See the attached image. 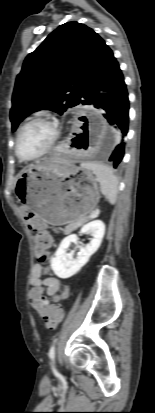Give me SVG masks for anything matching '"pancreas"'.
<instances>
[{
  "label": "pancreas",
  "mask_w": 155,
  "mask_h": 413,
  "mask_svg": "<svg viewBox=\"0 0 155 413\" xmlns=\"http://www.w3.org/2000/svg\"><path fill=\"white\" fill-rule=\"evenodd\" d=\"M83 223V221H78L75 223H71L69 225H67L64 229L65 233L71 232L73 230H75L76 228H78L79 226H81V224Z\"/></svg>",
  "instance_id": "obj_1"
}]
</instances>
